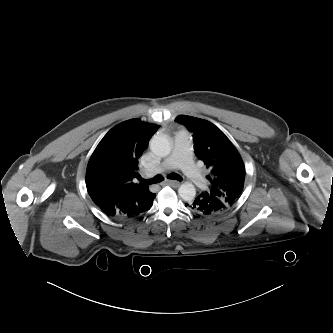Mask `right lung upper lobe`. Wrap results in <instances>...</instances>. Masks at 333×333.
I'll use <instances>...</instances> for the list:
<instances>
[{"mask_svg":"<svg viewBox=\"0 0 333 333\" xmlns=\"http://www.w3.org/2000/svg\"><path fill=\"white\" fill-rule=\"evenodd\" d=\"M158 125L131 119L112 128L93 152L86 171V187L99 206L113 205L130 215L148 210L155 194L137 173L138 158Z\"/></svg>","mask_w":333,"mask_h":333,"instance_id":"obj_1","label":"right lung upper lobe"}]
</instances>
